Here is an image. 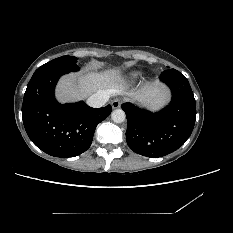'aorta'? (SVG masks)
I'll use <instances>...</instances> for the list:
<instances>
[{
    "instance_id": "1",
    "label": "aorta",
    "mask_w": 233,
    "mask_h": 233,
    "mask_svg": "<svg viewBox=\"0 0 233 233\" xmlns=\"http://www.w3.org/2000/svg\"><path fill=\"white\" fill-rule=\"evenodd\" d=\"M111 117L115 123H122L125 121L126 115L122 109H116L112 112Z\"/></svg>"
}]
</instances>
